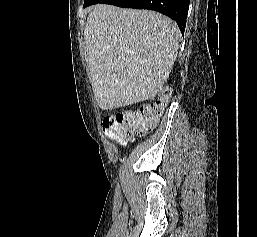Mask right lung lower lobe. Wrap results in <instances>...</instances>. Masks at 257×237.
I'll return each mask as SVG.
<instances>
[{
  "instance_id": "1",
  "label": "right lung lower lobe",
  "mask_w": 257,
  "mask_h": 237,
  "mask_svg": "<svg viewBox=\"0 0 257 237\" xmlns=\"http://www.w3.org/2000/svg\"><path fill=\"white\" fill-rule=\"evenodd\" d=\"M103 3L123 8L158 11L175 20L183 34L190 0H105Z\"/></svg>"
}]
</instances>
